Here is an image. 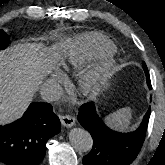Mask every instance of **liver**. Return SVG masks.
<instances>
[{"label":"liver","mask_w":165,"mask_h":165,"mask_svg":"<svg viewBox=\"0 0 165 165\" xmlns=\"http://www.w3.org/2000/svg\"><path fill=\"white\" fill-rule=\"evenodd\" d=\"M53 62L35 44H17L0 51V125L23 115Z\"/></svg>","instance_id":"liver-1"}]
</instances>
